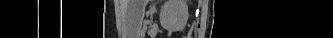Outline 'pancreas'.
Returning a JSON list of instances; mask_svg holds the SVG:
<instances>
[{
	"label": "pancreas",
	"instance_id": "cf45deb5",
	"mask_svg": "<svg viewBox=\"0 0 333 38\" xmlns=\"http://www.w3.org/2000/svg\"><path fill=\"white\" fill-rule=\"evenodd\" d=\"M147 29L146 24L143 25V32H145Z\"/></svg>",
	"mask_w": 333,
	"mask_h": 38
}]
</instances>
